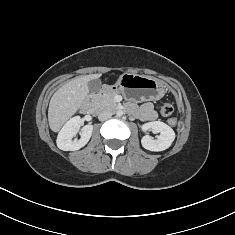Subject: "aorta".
<instances>
[{
    "mask_svg": "<svg viewBox=\"0 0 235 235\" xmlns=\"http://www.w3.org/2000/svg\"><path fill=\"white\" fill-rule=\"evenodd\" d=\"M122 115H123V111H122V110H118V111H117V116L120 117V116H122Z\"/></svg>",
    "mask_w": 235,
    "mask_h": 235,
    "instance_id": "1",
    "label": "aorta"
}]
</instances>
